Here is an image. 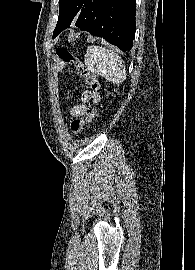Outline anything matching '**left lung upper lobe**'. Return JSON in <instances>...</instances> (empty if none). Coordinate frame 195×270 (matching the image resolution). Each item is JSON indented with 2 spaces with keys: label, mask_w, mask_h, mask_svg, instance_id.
<instances>
[{
  "label": "left lung upper lobe",
  "mask_w": 195,
  "mask_h": 270,
  "mask_svg": "<svg viewBox=\"0 0 195 270\" xmlns=\"http://www.w3.org/2000/svg\"><path fill=\"white\" fill-rule=\"evenodd\" d=\"M85 0H60L59 17L53 36L68 28L79 14Z\"/></svg>",
  "instance_id": "1"
}]
</instances>
